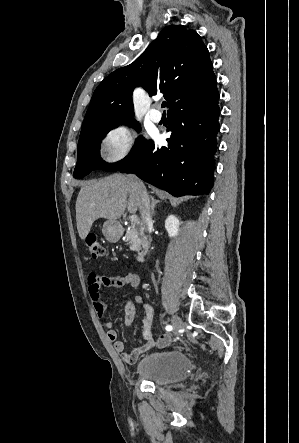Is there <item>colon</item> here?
<instances>
[{
  "instance_id": "obj_1",
  "label": "colon",
  "mask_w": 299,
  "mask_h": 443,
  "mask_svg": "<svg viewBox=\"0 0 299 443\" xmlns=\"http://www.w3.org/2000/svg\"><path fill=\"white\" fill-rule=\"evenodd\" d=\"M85 244L91 257L99 258L104 255V248L96 234L90 233L85 238Z\"/></svg>"
}]
</instances>
